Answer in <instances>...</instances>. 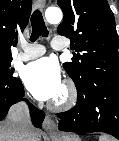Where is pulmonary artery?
Wrapping results in <instances>:
<instances>
[{
  "label": "pulmonary artery",
  "mask_w": 119,
  "mask_h": 141,
  "mask_svg": "<svg viewBox=\"0 0 119 141\" xmlns=\"http://www.w3.org/2000/svg\"><path fill=\"white\" fill-rule=\"evenodd\" d=\"M51 46L57 50L64 49L66 47V45L57 38H54L51 41ZM44 53L45 47L43 45L22 42L20 44L19 52L15 55V59L20 61H28L40 57Z\"/></svg>",
  "instance_id": "1"
}]
</instances>
